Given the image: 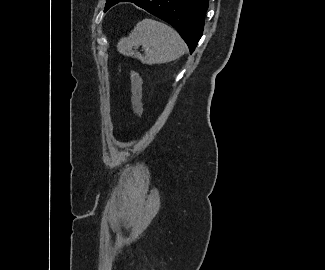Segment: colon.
Masks as SVG:
<instances>
[{
    "instance_id": "obj_1",
    "label": "colon",
    "mask_w": 325,
    "mask_h": 270,
    "mask_svg": "<svg viewBox=\"0 0 325 270\" xmlns=\"http://www.w3.org/2000/svg\"><path fill=\"white\" fill-rule=\"evenodd\" d=\"M130 80L133 110L136 116L140 117L143 113L142 80L140 75L135 70H130Z\"/></svg>"
}]
</instances>
